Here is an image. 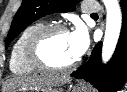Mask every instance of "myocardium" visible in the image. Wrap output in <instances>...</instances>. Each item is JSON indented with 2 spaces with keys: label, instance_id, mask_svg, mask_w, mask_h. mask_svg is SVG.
Instances as JSON below:
<instances>
[{
  "label": "myocardium",
  "instance_id": "1",
  "mask_svg": "<svg viewBox=\"0 0 127 92\" xmlns=\"http://www.w3.org/2000/svg\"><path fill=\"white\" fill-rule=\"evenodd\" d=\"M56 33H69V29L63 24H49L38 29L28 40L25 50L27 62L37 71L46 73H68L79 64V59L62 67L48 63L42 54L46 41Z\"/></svg>",
  "mask_w": 127,
  "mask_h": 92
}]
</instances>
